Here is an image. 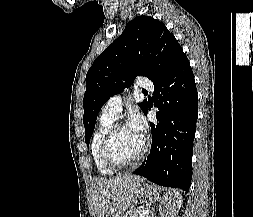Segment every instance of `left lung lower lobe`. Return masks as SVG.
Wrapping results in <instances>:
<instances>
[{"mask_svg": "<svg viewBox=\"0 0 253 217\" xmlns=\"http://www.w3.org/2000/svg\"><path fill=\"white\" fill-rule=\"evenodd\" d=\"M154 83L158 123H151L150 154L133 174L166 187L188 191L192 178L193 140L198 97L188 58L181 53ZM150 105L144 112L147 115Z\"/></svg>", "mask_w": 253, "mask_h": 217, "instance_id": "obj_1", "label": "left lung lower lobe"}]
</instances>
